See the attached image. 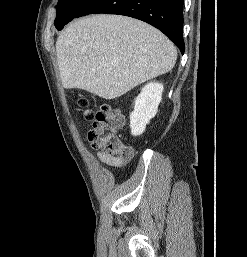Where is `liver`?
<instances>
[{"label":"liver","mask_w":247,"mask_h":257,"mask_svg":"<svg viewBox=\"0 0 247 257\" xmlns=\"http://www.w3.org/2000/svg\"><path fill=\"white\" fill-rule=\"evenodd\" d=\"M61 82L115 99L173 69L177 50L153 26L121 15H92L72 22L56 42Z\"/></svg>","instance_id":"obj_1"}]
</instances>
